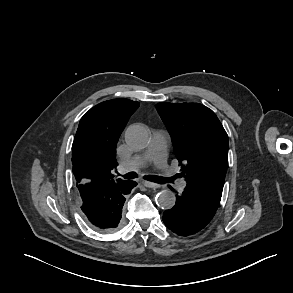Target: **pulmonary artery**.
I'll list each match as a JSON object with an SVG mask.
<instances>
[{
  "label": "pulmonary artery",
  "mask_w": 293,
  "mask_h": 293,
  "mask_svg": "<svg viewBox=\"0 0 293 293\" xmlns=\"http://www.w3.org/2000/svg\"><path fill=\"white\" fill-rule=\"evenodd\" d=\"M168 143V135L164 131H157L142 155L133 157L130 161L119 166L120 173L135 171L144 167L148 162H154L157 168L163 172L169 171V166L166 161V148ZM186 186L185 181H180L178 184L179 190H183Z\"/></svg>",
  "instance_id": "obj_1"
}]
</instances>
